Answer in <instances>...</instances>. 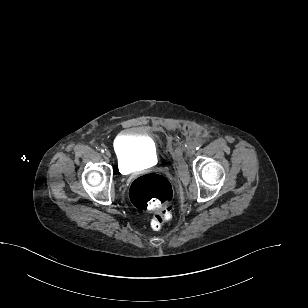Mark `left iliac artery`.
<instances>
[{
	"label": "left iliac artery",
	"instance_id": "44dca946",
	"mask_svg": "<svg viewBox=\"0 0 308 308\" xmlns=\"http://www.w3.org/2000/svg\"><path fill=\"white\" fill-rule=\"evenodd\" d=\"M200 147H201V144H200V143H197V144H196V149L198 150Z\"/></svg>",
	"mask_w": 308,
	"mask_h": 308
}]
</instances>
